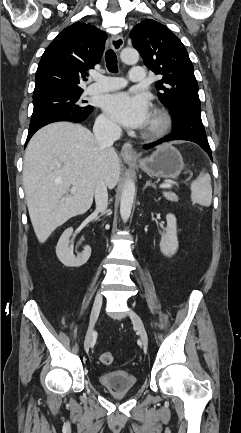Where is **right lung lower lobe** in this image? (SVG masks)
Masks as SVG:
<instances>
[{
    "label": "right lung lower lobe",
    "mask_w": 241,
    "mask_h": 433,
    "mask_svg": "<svg viewBox=\"0 0 241 433\" xmlns=\"http://www.w3.org/2000/svg\"><path fill=\"white\" fill-rule=\"evenodd\" d=\"M91 112H92V110L88 113H85V114H69V113L59 114V115H55L53 117H50V118L46 119L45 121H42L41 123L37 124L36 126L29 128V132H28L25 146L27 145V143L30 140V138L32 137V135L37 130L42 128L43 126L50 124V123H53V122H57V121H70V122L80 123V122L84 121Z\"/></svg>",
    "instance_id": "right-lung-lower-lobe-1"
}]
</instances>
